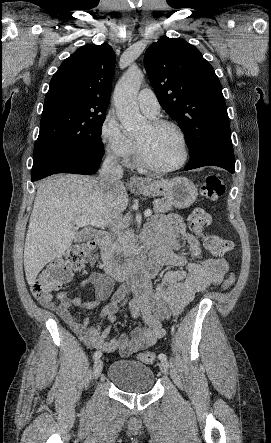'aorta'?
Here are the masks:
<instances>
[{"label": "aorta", "instance_id": "obj_1", "mask_svg": "<svg viewBox=\"0 0 271 443\" xmlns=\"http://www.w3.org/2000/svg\"><path fill=\"white\" fill-rule=\"evenodd\" d=\"M143 80L144 74L138 66H130L115 86L113 102L124 132H141L147 124L137 104V94Z\"/></svg>", "mask_w": 271, "mask_h": 443}]
</instances>
